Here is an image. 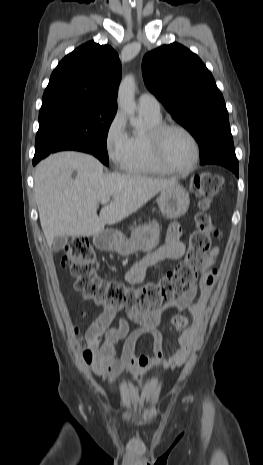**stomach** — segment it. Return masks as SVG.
I'll use <instances>...</instances> for the list:
<instances>
[{"mask_svg": "<svg viewBox=\"0 0 263 465\" xmlns=\"http://www.w3.org/2000/svg\"><path fill=\"white\" fill-rule=\"evenodd\" d=\"M158 206L163 215L170 219L182 217L188 211L189 194L181 185H173L161 191ZM160 228L156 221L133 229L130 238L119 232H101L94 236V244L102 250H112L121 256H129L138 251L149 252L159 242Z\"/></svg>", "mask_w": 263, "mask_h": 465, "instance_id": "stomach-1", "label": "stomach"}]
</instances>
